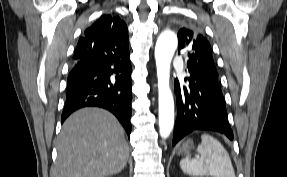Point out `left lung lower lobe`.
<instances>
[{
  "label": "left lung lower lobe",
  "mask_w": 287,
  "mask_h": 177,
  "mask_svg": "<svg viewBox=\"0 0 287 177\" xmlns=\"http://www.w3.org/2000/svg\"><path fill=\"white\" fill-rule=\"evenodd\" d=\"M179 82L174 81L177 101V119L174 127L173 146L193 130H213L233 139L220 86L205 85L190 72Z\"/></svg>",
  "instance_id": "left-lung-lower-lobe-1"
}]
</instances>
